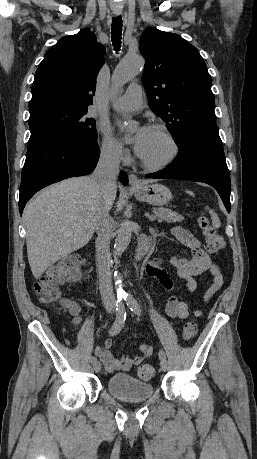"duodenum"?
<instances>
[{
	"label": "duodenum",
	"mask_w": 257,
	"mask_h": 459,
	"mask_svg": "<svg viewBox=\"0 0 257 459\" xmlns=\"http://www.w3.org/2000/svg\"><path fill=\"white\" fill-rule=\"evenodd\" d=\"M155 233H152L151 235H148L138 242L136 251H135V260L139 261L142 258H144L151 250L152 243L155 240Z\"/></svg>",
	"instance_id": "duodenum-1"
}]
</instances>
